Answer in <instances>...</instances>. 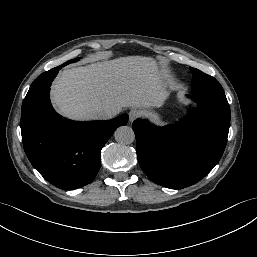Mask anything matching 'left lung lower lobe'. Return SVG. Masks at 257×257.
<instances>
[{
    "label": "left lung lower lobe",
    "instance_id": "obj_1",
    "mask_svg": "<svg viewBox=\"0 0 257 257\" xmlns=\"http://www.w3.org/2000/svg\"><path fill=\"white\" fill-rule=\"evenodd\" d=\"M199 108L178 125L157 127L137 119L132 128L137 157L153 182L171 189L191 186L205 177L220 160L230 124L225 94H193Z\"/></svg>",
    "mask_w": 257,
    "mask_h": 257
}]
</instances>
